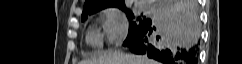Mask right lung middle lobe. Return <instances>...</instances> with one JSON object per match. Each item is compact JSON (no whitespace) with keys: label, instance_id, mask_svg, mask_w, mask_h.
<instances>
[{"label":"right lung middle lobe","instance_id":"obj_1","mask_svg":"<svg viewBox=\"0 0 242 64\" xmlns=\"http://www.w3.org/2000/svg\"><path fill=\"white\" fill-rule=\"evenodd\" d=\"M127 13V17L129 19L133 18V14L129 13L127 9H122ZM93 13L89 14H83L81 17V20L84 21L87 19V15H90ZM152 23V20L149 18H146L145 16H140L137 18L136 21H131L129 25V33L124 41L123 45H127L130 41H132L138 34H140L143 30H145L149 25Z\"/></svg>","mask_w":242,"mask_h":64}]
</instances>
